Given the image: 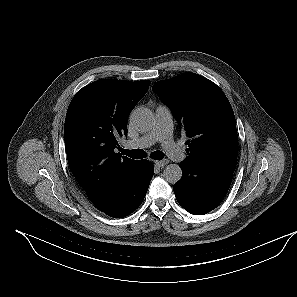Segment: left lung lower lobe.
<instances>
[{"mask_svg":"<svg viewBox=\"0 0 297 297\" xmlns=\"http://www.w3.org/2000/svg\"><path fill=\"white\" fill-rule=\"evenodd\" d=\"M180 167L182 179L173 187L179 204L194 215H204L215 209L231 185L233 172L220 176H197L189 166L180 164Z\"/></svg>","mask_w":297,"mask_h":297,"instance_id":"1","label":"left lung lower lobe"}]
</instances>
